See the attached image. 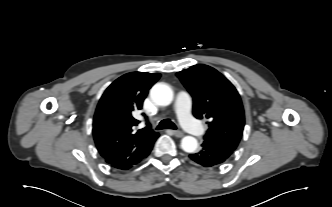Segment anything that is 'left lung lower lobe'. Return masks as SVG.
Here are the masks:
<instances>
[{"mask_svg": "<svg viewBox=\"0 0 332 207\" xmlns=\"http://www.w3.org/2000/svg\"><path fill=\"white\" fill-rule=\"evenodd\" d=\"M200 151L190 154L191 160L203 167H216L225 162L233 153L232 150L219 144L204 140Z\"/></svg>", "mask_w": 332, "mask_h": 207, "instance_id": "1", "label": "left lung lower lobe"}]
</instances>
